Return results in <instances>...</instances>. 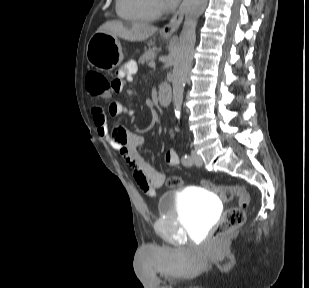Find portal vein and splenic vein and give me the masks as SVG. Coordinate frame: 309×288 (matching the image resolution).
I'll return each mask as SVG.
<instances>
[{
  "mask_svg": "<svg viewBox=\"0 0 309 288\" xmlns=\"http://www.w3.org/2000/svg\"><path fill=\"white\" fill-rule=\"evenodd\" d=\"M149 66H150V67H154V66H155V62H154V61H151V62L149 63Z\"/></svg>",
  "mask_w": 309,
  "mask_h": 288,
  "instance_id": "18ae733b",
  "label": "portal vein and splenic vein"
}]
</instances>
